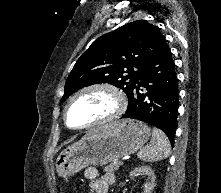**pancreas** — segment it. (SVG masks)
<instances>
[{
	"label": "pancreas",
	"instance_id": "obj_1",
	"mask_svg": "<svg viewBox=\"0 0 221 193\" xmlns=\"http://www.w3.org/2000/svg\"><path fill=\"white\" fill-rule=\"evenodd\" d=\"M120 165H121L120 162L115 160V161L111 162L108 166H106L104 168V171L105 172H115L119 169Z\"/></svg>",
	"mask_w": 221,
	"mask_h": 193
}]
</instances>
